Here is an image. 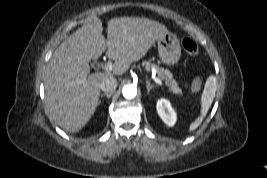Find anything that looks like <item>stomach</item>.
Instances as JSON below:
<instances>
[{
  "mask_svg": "<svg viewBox=\"0 0 267 178\" xmlns=\"http://www.w3.org/2000/svg\"><path fill=\"white\" fill-rule=\"evenodd\" d=\"M158 53L166 65H175L181 56L179 39L172 33H166L158 39Z\"/></svg>",
  "mask_w": 267,
  "mask_h": 178,
  "instance_id": "stomach-1",
  "label": "stomach"
}]
</instances>
